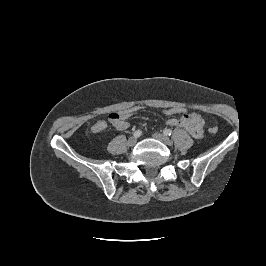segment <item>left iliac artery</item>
Here are the masks:
<instances>
[{
    "label": "left iliac artery",
    "instance_id": "1",
    "mask_svg": "<svg viewBox=\"0 0 266 266\" xmlns=\"http://www.w3.org/2000/svg\"><path fill=\"white\" fill-rule=\"evenodd\" d=\"M164 134L170 136L172 134V131L170 129H165Z\"/></svg>",
    "mask_w": 266,
    "mask_h": 266
}]
</instances>
